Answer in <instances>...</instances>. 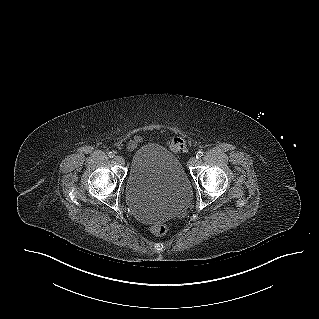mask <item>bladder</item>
I'll use <instances>...</instances> for the list:
<instances>
[{
	"mask_svg": "<svg viewBox=\"0 0 319 319\" xmlns=\"http://www.w3.org/2000/svg\"><path fill=\"white\" fill-rule=\"evenodd\" d=\"M125 195L138 218L159 221L182 210L190 202L192 188L172 152L158 144H147L132 152Z\"/></svg>",
	"mask_w": 319,
	"mask_h": 319,
	"instance_id": "obj_1",
	"label": "bladder"
}]
</instances>
